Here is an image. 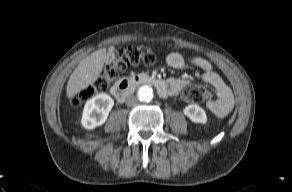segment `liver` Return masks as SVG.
Returning <instances> with one entry per match:
<instances>
[{
	"label": "liver",
	"instance_id": "liver-1",
	"mask_svg": "<svg viewBox=\"0 0 292 192\" xmlns=\"http://www.w3.org/2000/svg\"><path fill=\"white\" fill-rule=\"evenodd\" d=\"M106 59V49H99L83 59L70 75L66 94L74 97L78 92L93 84L102 72Z\"/></svg>",
	"mask_w": 292,
	"mask_h": 192
}]
</instances>
